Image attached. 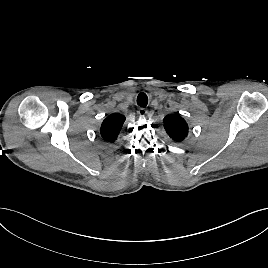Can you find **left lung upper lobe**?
Segmentation results:
<instances>
[{
  "instance_id": "1",
  "label": "left lung upper lobe",
  "mask_w": 268,
  "mask_h": 268,
  "mask_svg": "<svg viewBox=\"0 0 268 268\" xmlns=\"http://www.w3.org/2000/svg\"><path fill=\"white\" fill-rule=\"evenodd\" d=\"M164 128L169 137L175 142H182L188 135V125L178 114L166 115L163 119Z\"/></svg>"
}]
</instances>
